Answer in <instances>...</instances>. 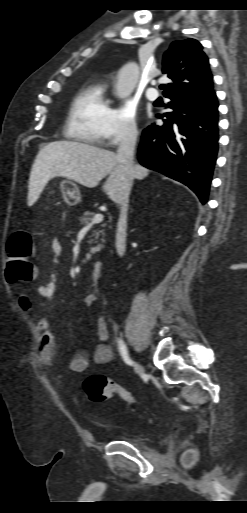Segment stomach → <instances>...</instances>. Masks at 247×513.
Here are the masks:
<instances>
[{
	"mask_svg": "<svg viewBox=\"0 0 247 513\" xmlns=\"http://www.w3.org/2000/svg\"><path fill=\"white\" fill-rule=\"evenodd\" d=\"M61 188L68 204L73 205L80 201V192L78 186L71 180L62 181Z\"/></svg>",
	"mask_w": 247,
	"mask_h": 513,
	"instance_id": "1",
	"label": "stomach"
}]
</instances>
